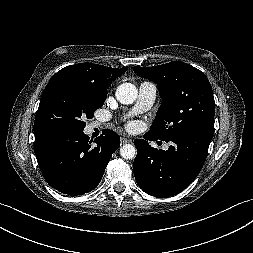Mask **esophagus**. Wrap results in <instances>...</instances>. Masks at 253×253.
I'll return each mask as SVG.
<instances>
[{
  "mask_svg": "<svg viewBox=\"0 0 253 253\" xmlns=\"http://www.w3.org/2000/svg\"><path fill=\"white\" fill-rule=\"evenodd\" d=\"M121 144H126V143H131V140L125 138V137H122L121 140H120Z\"/></svg>",
  "mask_w": 253,
  "mask_h": 253,
  "instance_id": "1",
  "label": "esophagus"
}]
</instances>
